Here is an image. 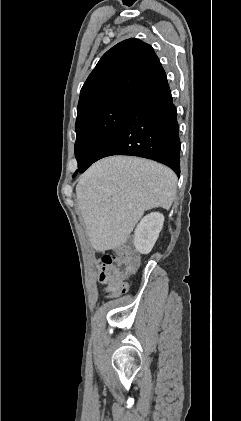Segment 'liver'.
I'll use <instances>...</instances> for the list:
<instances>
[{"label":"liver","mask_w":241,"mask_h":421,"mask_svg":"<svg viewBox=\"0 0 241 421\" xmlns=\"http://www.w3.org/2000/svg\"><path fill=\"white\" fill-rule=\"evenodd\" d=\"M176 189V174L151 160L111 156L94 163L76 186L91 246L105 252L124 245L145 211L170 209Z\"/></svg>","instance_id":"liver-1"}]
</instances>
